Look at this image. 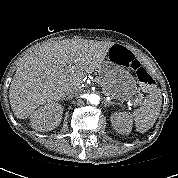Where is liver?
<instances>
[{"mask_svg":"<svg viewBox=\"0 0 178 178\" xmlns=\"http://www.w3.org/2000/svg\"><path fill=\"white\" fill-rule=\"evenodd\" d=\"M112 45L109 41L65 39L39 47L18 67L11 82L14 115L28 118L40 105L81 89L84 78L101 66Z\"/></svg>","mask_w":178,"mask_h":178,"instance_id":"6515ba94","label":"liver"}]
</instances>
